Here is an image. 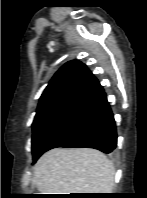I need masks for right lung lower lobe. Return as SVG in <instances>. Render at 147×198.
Listing matches in <instances>:
<instances>
[{"mask_svg": "<svg viewBox=\"0 0 147 198\" xmlns=\"http://www.w3.org/2000/svg\"><path fill=\"white\" fill-rule=\"evenodd\" d=\"M117 146L112 111L101 86L75 104L39 147L34 162L56 148L88 147L111 153Z\"/></svg>", "mask_w": 147, "mask_h": 198, "instance_id": "1", "label": "right lung lower lobe"}]
</instances>
